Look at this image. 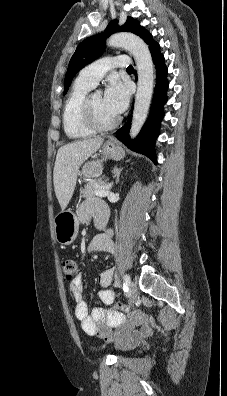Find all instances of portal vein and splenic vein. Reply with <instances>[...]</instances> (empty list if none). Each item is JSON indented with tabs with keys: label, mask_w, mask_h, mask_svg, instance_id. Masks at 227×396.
<instances>
[{
	"label": "portal vein and splenic vein",
	"mask_w": 227,
	"mask_h": 396,
	"mask_svg": "<svg viewBox=\"0 0 227 396\" xmlns=\"http://www.w3.org/2000/svg\"><path fill=\"white\" fill-rule=\"evenodd\" d=\"M111 187V184L106 186L105 188L101 189V190H97L95 191V195L100 196V197H105L109 194V189Z\"/></svg>",
	"instance_id": "1"
}]
</instances>
